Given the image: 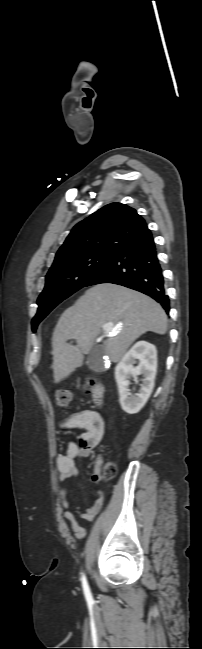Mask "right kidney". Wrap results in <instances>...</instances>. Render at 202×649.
<instances>
[{"instance_id":"right-kidney-1","label":"right kidney","mask_w":202,"mask_h":649,"mask_svg":"<svg viewBox=\"0 0 202 649\" xmlns=\"http://www.w3.org/2000/svg\"><path fill=\"white\" fill-rule=\"evenodd\" d=\"M139 361L138 366L133 364ZM157 372V350L153 344L139 341L123 356L115 368V380L119 391V400L122 409L129 413H138L150 397ZM142 375L141 388L135 396L130 395L129 378Z\"/></svg>"}]
</instances>
